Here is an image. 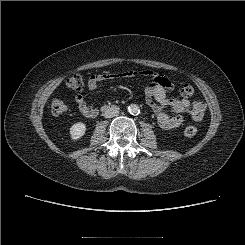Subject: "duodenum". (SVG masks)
<instances>
[{
    "label": "duodenum",
    "instance_id": "duodenum-1",
    "mask_svg": "<svg viewBox=\"0 0 245 245\" xmlns=\"http://www.w3.org/2000/svg\"><path fill=\"white\" fill-rule=\"evenodd\" d=\"M112 109H114V107H113L112 105H103V106L101 107V110H102V111L112 110Z\"/></svg>",
    "mask_w": 245,
    "mask_h": 245
}]
</instances>
